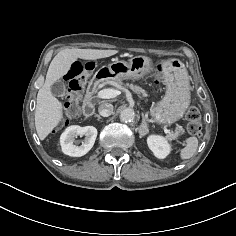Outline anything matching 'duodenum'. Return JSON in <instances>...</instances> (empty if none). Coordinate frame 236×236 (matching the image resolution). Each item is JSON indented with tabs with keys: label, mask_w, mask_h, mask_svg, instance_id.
<instances>
[{
	"label": "duodenum",
	"mask_w": 236,
	"mask_h": 236,
	"mask_svg": "<svg viewBox=\"0 0 236 236\" xmlns=\"http://www.w3.org/2000/svg\"><path fill=\"white\" fill-rule=\"evenodd\" d=\"M106 76L98 75L94 78L87 87V95L84 104V114L86 117H92L95 111L94 103H93V96L97 92L98 86L106 80Z\"/></svg>",
	"instance_id": "1"
}]
</instances>
